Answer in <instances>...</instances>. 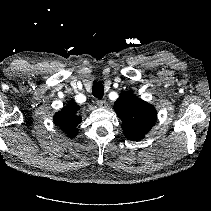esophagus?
<instances>
[{"instance_id":"34e87169","label":"esophagus","mask_w":211,"mask_h":211,"mask_svg":"<svg viewBox=\"0 0 211 211\" xmlns=\"http://www.w3.org/2000/svg\"><path fill=\"white\" fill-rule=\"evenodd\" d=\"M97 105L101 108H107L108 107V103L106 100H97Z\"/></svg>"}]
</instances>
